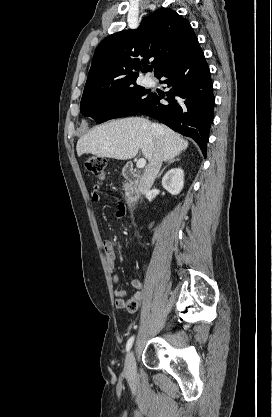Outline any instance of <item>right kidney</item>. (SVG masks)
<instances>
[{
  "mask_svg": "<svg viewBox=\"0 0 272 417\" xmlns=\"http://www.w3.org/2000/svg\"><path fill=\"white\" fill-rule=\"evenodd\" d=\"M162 186L172 195H178L184 186V171L181 168L169 170L162 178Z\"/></svg>",
  "mask_w": 272,
  "mask_h": 417,
  "instance_id": "1",
  "label": "right kidney"
}]
</instances>
